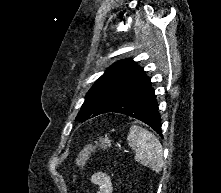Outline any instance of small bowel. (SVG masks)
<instances>
[{"mask_svg": "<svg viewBox=\"0 0 221 193\" xmlns=\"http://www.w3.org/2000/svg\"><path fill=\"white\" fill-rule=\"evenodd\" d=\"M90 182L98 187L97 193H112L111 178L104 172H96L90 177Z\"/></svg>", "mask_w": 221, "mask_h": 193, "instance_id": "1", "label": "small bowel"}]
</instances>
